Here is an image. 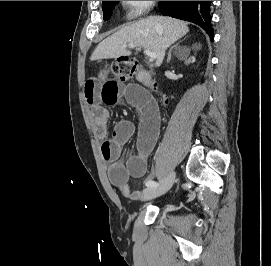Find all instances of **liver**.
<instances>
[{
	"instance_id": "6515ba94",
	"label": "liver",
	"mask_w": 271,
	"mask_h": 266,
	"mask_svg": "<svg viewBox=\"0 0 271 266\" xmlns=\"http://www.w3.org/2000/svg\"><path fill=\"white\" fill-rule=\"evenodd\" d=\"M189 32L186 22L163 16H150L122 28L103 40L94 50L91 60L129 56L125 47L134 44L156 53L158 67L162 64L166 49Z\"/></svg>"
}]
</instances>
